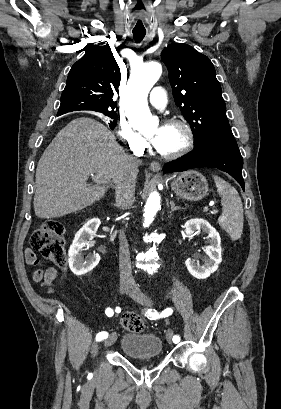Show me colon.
<instances>
[{
	"label": "colon",
	"instance_id": "obj_1",
	"mask_svg": "<svg viewBox=\"0 0 281 409\" xmlns=\"http://www.w3.org/2000/svg\"><path fill=\"white\" fill-rule=\"evenodd\" d=\"M63 232L64 225L61 222L47 219L31 235L30 248L28 249H40V254L45 255L46 259L64 267L66 264V244ZM121 324L132 332H141L145 328L143 319L136 313L123 315Z\"/></svg>",
	"mask_w": 281,
	"mask_h": 409
}]
</instances>
